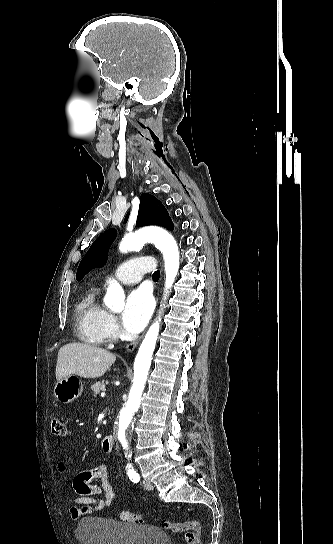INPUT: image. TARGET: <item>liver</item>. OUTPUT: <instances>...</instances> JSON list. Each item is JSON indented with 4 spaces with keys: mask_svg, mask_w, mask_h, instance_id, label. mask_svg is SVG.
I'll return each instance as SVG.
<instances>
[{
    "mask_svg": "<svg viewBox=\"0 0 333 544\" xmlns=\"http://www.w3.org/2000/svg\"><path fill=\"white\" fill-rule=\"evenodd\" d=\"M116 356L108 350L85 343H68L58 352L56 379L78 375L83 378H98L105 374L115 362Z\"/></svg>",
    "mask_w": 333,
    "mask_h": 544,
    "instance_id": "liver-1",
    "label": "liver"
}]
</instances>
